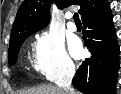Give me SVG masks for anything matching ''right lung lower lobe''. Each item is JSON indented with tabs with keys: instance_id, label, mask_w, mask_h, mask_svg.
I'll return each mask as SVG.
<instances>
[{
	"instance_id": "98d812e1",
	"label": "right lung lower lobe",
	"mask_w": 121,
	"mask_h": 94,
	"mask_svg": "<svg viewBox=\"0 0 121 94\" xmlns=\"http://www.w3.org/2000/svg\"><path fill=\"white\" fill-rule=\"evenodd\" d=\"M82 21L85 45L92 56L80 65L73 85L84 94H115L119 46L110 3L106 1Z\"/></svg>"
}]
</instances>
